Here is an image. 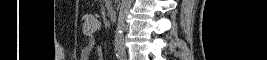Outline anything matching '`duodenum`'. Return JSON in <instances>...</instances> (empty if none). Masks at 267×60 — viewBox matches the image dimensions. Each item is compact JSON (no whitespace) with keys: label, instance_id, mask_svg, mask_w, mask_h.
I'll return each mask as SVG.
<instances>
[{"label":"duodenum","instance_id":"obj_1","mask_svg":"<svg viewBox=\"0 0 267 60\" xmlns=\"http://www.w3.org/2000/svg\"><path fill=\"white\" fill-rule=\"evenodd\" d=\"M108 14H109L110 19L113 21H115L118 17L117 10L114 8L110 9Z\"/></svg>","mask_w":267,"mask_h":60}]
</instances>
